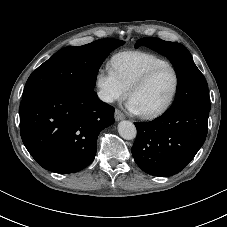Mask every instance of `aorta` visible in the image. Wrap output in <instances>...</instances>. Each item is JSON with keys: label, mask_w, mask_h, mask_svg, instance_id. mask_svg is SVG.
Returning a JSON list of instances; mask_svg holds the SVG:
<instances>
[{"label": "aorta", "mask_w": 227, "mask_h": 227, "mask_svg": "<svg viewBox=\"0 0 227 227\" xmlns=\"http://www.w3.org/2000/svg\"><path fill=\"white\" fill-rule=\"evenodd\" d=\"M119 135L126 140H132L137 135V130L135 125L127 120H123L118 124Z\"/></svg>", "instance_id": "762f6f07"}]
</instances>
